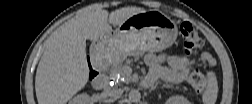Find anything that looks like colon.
I'll return each instance as SVG.
<instances>
[{
	"instance_id": "5ec220e1",
	"label": "colon",
	"mask_w": 252,
	"mask_h": 104,
	"mask_svg": "<svg viewBox=\"0 0 252 104\" xmlns=\"http://www.w3.org/2000/svg\"><path fill=\"white\" fill-rule=\"evenodd\" d=\"M180 34L181 41L186 53L187 63L193 65L199 55V50L203 46V40L199 36L196 29L189 23H183L181 25ZM201 60L203 63L206 64L214 63L213 58L207 54L202 55ZM97 76L98 72L95 69L91 68L89 71V79L93 80ZM188 82L198 93L203 92L206 87L205 76L198 69L195 68L190 71Z\"/></svg>"
}]
</instances>
